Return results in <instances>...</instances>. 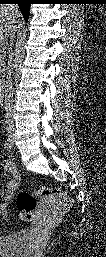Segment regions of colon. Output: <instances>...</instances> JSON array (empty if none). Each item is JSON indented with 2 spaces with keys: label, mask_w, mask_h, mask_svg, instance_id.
<instances>
[{
  "label": "colon",
  "mask_w": 106,
  "mask_h": 257,
  "mask_svg": "<svg viewBox=\"0 0 106 257\" xmlns=\"http://www.w3.org/2000/svg\"><path fill=\"white\" fill-rule=\"evenodd\" d=\"M40 200V201H39ZM50 202H55L62 209L72 206V199L62 190L52 187H41L35 191H22L17 196V209L24 221L33 220L39 208H45Z\"/></svg>",
  "instance_id": "1"
}]
</instances>
